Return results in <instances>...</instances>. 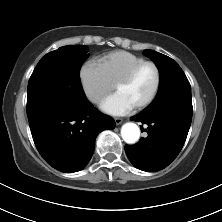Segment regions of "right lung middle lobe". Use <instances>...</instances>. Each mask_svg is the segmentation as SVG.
I'll return each mask as SVG.
<instances>
[{
  "mask_svg": "<svg viewBox=\"0 0 222 222\" xmlns=\"http://www.w3.org/2000/svg\"><path fill=\"white\" fill-rule=\"evenodd\" d=\"M88 51L85 45H70L43 56L28 83L27 110L82 105L87 98L79 75Z\"/></svg>",
  "mask_w": 222,
  "mask_h": 222,
  "instance_id": "obj_1",
  "label": "right lung middle lobe"
}]
</instances>
